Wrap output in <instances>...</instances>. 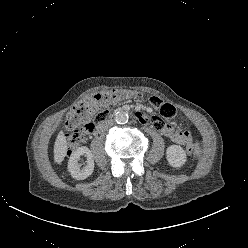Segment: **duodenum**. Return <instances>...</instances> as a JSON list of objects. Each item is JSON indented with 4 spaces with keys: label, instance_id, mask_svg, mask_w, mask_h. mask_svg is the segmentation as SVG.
<instances>
[{
    "label": "duodenum",
    "instance_id": "obj_1",
    "mask_svg": "<svg viewBox=\"0 0 248 248\" xmlns=\"http://www.w3.org/2000/svg\"><path fill=\"white\" fill-rule=\"evenodd\" d=\"M137 116L141 119L142 118V113H137Z\"/></svg>",
    "mask_w": 248,
    "mask_h": 248
}]
</instances>
